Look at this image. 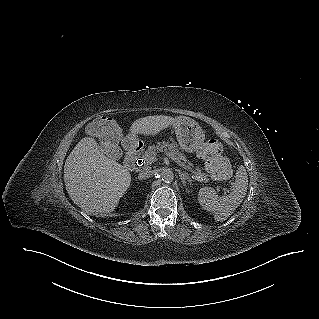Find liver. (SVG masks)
<instances>
[{
    "instance_id": "1",
    "label": "liver",
    "mask_w": 319,
    "mask_h": 319,
    "mask_svg": "<svg viewBox=\"0 0 319 319\" xmlns=\"http://www.w3.org/2000/svg\"><path fill=\"white\" fill-rule=\"evenodd\" d=\"M176 118L147 116L133 122L132 134L157 135ZM64 182L72 201L91 214L111 213L131 184L130 172L100 150L92 137L82 138L64 165Z\"/></svg>"
}]
</instances>
